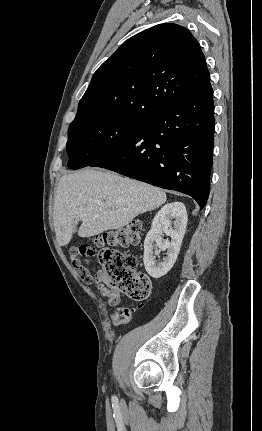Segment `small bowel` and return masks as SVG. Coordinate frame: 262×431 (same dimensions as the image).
Returning <instances> with one entry per match:
<instances>
[{"mask_svg": "<svg viewBox=\"0 0 262 431\" xmlns=\"http://www.w3.org/2000/svg\"><path fill=\"white\" fill-rule=\"evenodd\" d=\"M82 279L88 285H97L96 280L89 274L83 275ZM99 290H100L101 294L106 298V301L110 306H117L120 303L122 297L118 291L112 290V289H107L103 286H100ZM117 312H118V309L115 310L114 315Z\"/></svg>", "mask_w": 262, "mask_h": 431, "instance_id": "obj_1", "label": "small bowel"}]
</instances>
